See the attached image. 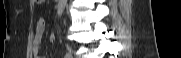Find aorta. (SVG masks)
Masks as SVG:
<instances>
[{"label":"aorta","instance_id":"aorta-1","mask_svg":"<svg viewBox=\"0 0 181 58\" xmlns=\"http://www.w3.org/2000/svg\"><path fill=\"white\" fill-rule=\"evenodd\" d=\"M66 4H67V0H58V4H57V15H58L59 17L62 16Z\"/></svg>","mask_w":181,"mask_h":58}]
</instances>
